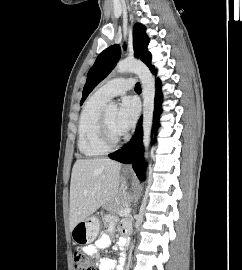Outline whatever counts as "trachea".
Listing matches in <instances>:
<instances>
[{
  "label": "trachea",
  "instance_id": "obj_1",
  "mask_svg": "<svg viewBox=\"0 0 242 270\" xmlns=\"http://www.w3.org/2000/svg\"><path fill=\"white\" fill-rule=\"evenodd\" d=\"M135 91L141 92V85L139 83L135 85Z\"/></svg>",
  "mask_w": 242,
  "mask_h": 270
}]
</instances>
